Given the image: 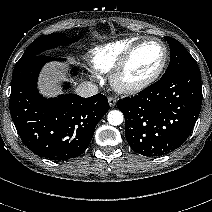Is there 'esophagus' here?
Wrapping results in <instances>:
<instances>
[{
  "mask_svg": "<svg viewBox=\"0 0 212 212\" xmlns=\"http://www.w3.org/2000/svg\"><path fill=\"white\" fill-rule=\"evenodd\" d=\"M108 103L110 105V107H114L116 105V100L113 97H109L108 98Z\"/></svg>",
  "mask_w": 212,
  "mask_h": 212,
  "instance_id": "esophagus-1",
  "label": "esophagus"
}]
</instances>
